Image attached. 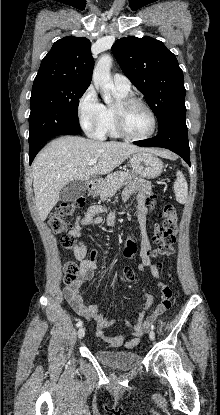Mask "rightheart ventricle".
<instances>
[{
  "mask_svg": "<svg viewBox=\"0 0 220 415\" xmlns=\"http://www.w3.org/2000/svg\"><path fill=\"white\" fill-rule=\"evenodd\" d=\"M116 94L119 99H124L127 97V94H122L116 91ZM107 112L106 123L103 129V133L101 135V139L106 137H119L118 133L116 132L115 125H114V116H113V108L112 107H105Z\"/></svg>",
  "mask_w": 220,
  "mask_h": 415,
  "instance_id": "obj_1",
  "label": "right heart ventricle"
}]
</instances>
